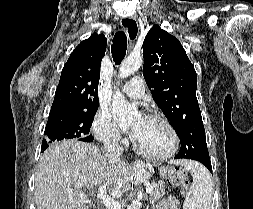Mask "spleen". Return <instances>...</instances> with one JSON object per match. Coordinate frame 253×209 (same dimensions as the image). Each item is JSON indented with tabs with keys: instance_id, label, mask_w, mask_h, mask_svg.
I'll return each mask as SVG.
<instances>
[{
	"instance_id": "obj_1",
	"label": "spleen",
	"mask_w": 253,
	"mask_h": 209,
	"mask_svg": "<svg viewBox=\"0 0 253 209\" xmlns=\"http://www.w3.org/2000/svg\"><path fill=\"white\" fill-rule=\"evenodd\" d=\"M188 170L193 182L183 204V209H210L213 195L212 180L206 168L189 160L172 161Z\"/></svg>"
}]
</instances>
